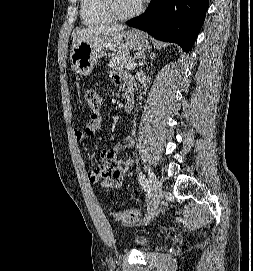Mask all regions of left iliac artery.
Masks as SVG:
<instances>
[{"label": "left iliac artery", "instance_id": "1", "mask_svg": "<svg viewBox=\"0 0 253 271\" xmlns=\"http://www.w3.org/2000/svg\"><path fill=\"white\" fill-rule=\"evenodd\" d=\"M138 178H139V181L141 183V185L143 186V188L145 189V191L148 193V197L150 198V186H149V183H148V180L146 179V176L145 174L140 171L138 173Z\"/></svg>", "mask_w": 253, "mask_h": 271}]
</instances>
